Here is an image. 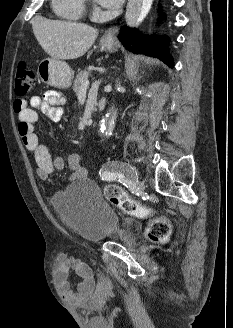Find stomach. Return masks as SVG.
Here are the masks:
<instances>
[{
	"mask_svg": "<svg viewBox=\"0 0 233 328\" xmlns=\"http://www.w3.org/2000/svg\"><path fill=\"white\" fill-rule=\"evenodd\" d=\"M99 45L101 50L105 51L112 52L116 49V44L112 37H102ZM37 73L45 84L62 89H67L71 85V68L62 60L54 58L42 60L38 65Z\"/></svg>",
	"mask_w": 233,
	"mask_h": 328,
	"instance_id": "1",
	"label": "stomach"
}]
</instances>
